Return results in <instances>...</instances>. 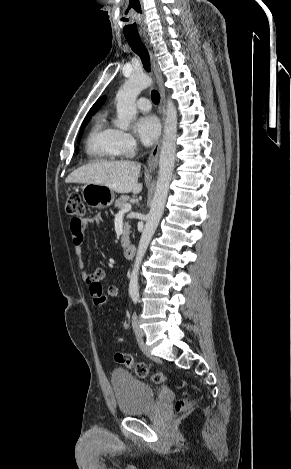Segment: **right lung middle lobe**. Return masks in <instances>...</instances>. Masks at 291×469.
I'll list each match as a JSON object with an SVG mask.
<instances>
[{"mask_svg":"<svg viewBox=\"0 0 291 469\" xmlns=\"http://www.w3.org/2000/svg\"><path fill=\"white\" fill-rule=\"evenodd\" d=\"M90 117H91V116H87V117L84 119V121H83V123H82V127H81L80 136H81V134H82L83 129L85 128V126L87 125L88 121L90 120Z\"/></svg>","mask_w":291,"mask_h":469,"instance_id":"obj_1","label":"right lung middle lobe"}]
</instances>
